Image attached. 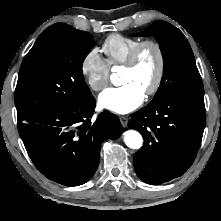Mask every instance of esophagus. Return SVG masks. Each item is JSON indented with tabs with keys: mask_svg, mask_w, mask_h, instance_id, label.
Wrapping results in <instances>:
<instances>
[{
	"mask_svg": "<svg viewBox=\"0 0 221 221\" xmlns=\"http://www.w3.org/2000/svg\"><path fill=\"white\" fill-rule=\"evenodd\" d=\"M120 121H121V124L123 127H126L127 126V123H128V117L126 116H120Z\"/></svg>",
	"mask_w": 221,
	"mask_h": 221,
	"instance_id": "1",
	"label": "esophagus"
}]
</instances>
